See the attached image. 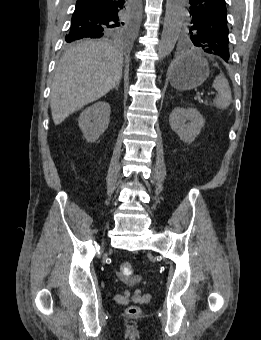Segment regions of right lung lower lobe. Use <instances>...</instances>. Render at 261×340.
<instances>
[{
	"instance_id": "obj_1",
	"label": "right lung lower lobe",
	"mask_w": 261,
	"mask_h": 340,
	"mask_svg": "<svg viewBox=\"0 0 261 340\" xmlns=\"http://www.w3.org/2000/svg\"><path fill=\"white\" fill-rule=\"evenodd\" d=\"M134 0H77L70 32L96 38Z\"/></svg>"
}]
</instances>
